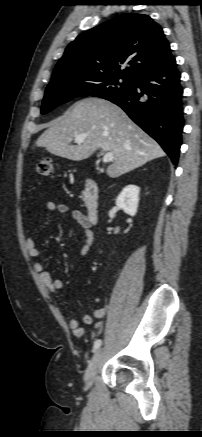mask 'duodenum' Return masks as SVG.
I'll return each mask as SVG.
<instances>
[{"mask_svg":"<svg viewBox=\"0 0 202 437\" xmlns=\"http://www.w3.org/2000/svg\"><path fill=\"white\" fill-rule=\"evenodd\" d=\"M84 206L91 225H96L99 218V189L97 183L87 178L84 182Z\"/></svg>","mask_w":202,"mask_h":437,"instance_id":"obj_1","label":"duodenum"}]
</instances>
